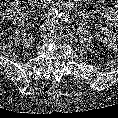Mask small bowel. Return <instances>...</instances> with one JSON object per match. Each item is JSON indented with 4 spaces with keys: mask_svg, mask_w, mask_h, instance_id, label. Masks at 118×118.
Segmentation results:
<instances>
[{
    "mask_svg": "<svg viewBox=\"0 0 118 118\" xmlns=\"http://www.w3.org/2000/svg\"><path fill=\"white\" fill-rule=\"evenodd\" d=\"M49 2H54L55 0H47ZM63 6H69L67 3L60 2ZM103 16L108 21V27L110 28H118V5L109 3L102 10Z\"/></svg>",
    "mask_w": 118,
    "mask_h": 118,
    "instance_id": "c3829d8e",
    "label": "small bowel"
}]
</instances>
